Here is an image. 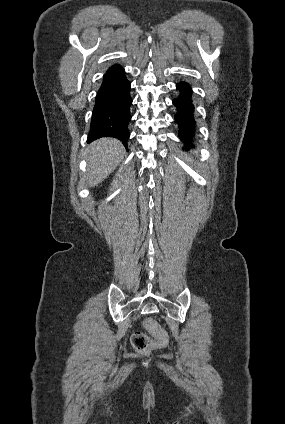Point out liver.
<instances>
[{
    "mask_svg": "<svg viewBox=\"0 0 285 424\" xmlns=\"http://www.w3.org/2000/svg\"><path fill=\"white\" fill-rule=\"evenodd\" d=\"M124 155L122 143L113 138H101L94 141L87 150L90 187L101 183L121 162Z\"/></svg>",
    "mask_w": 285,
    "mask_h": 424,
    "instance_id": "6515ba94",
    "label": "liver"
}]
</instances>
